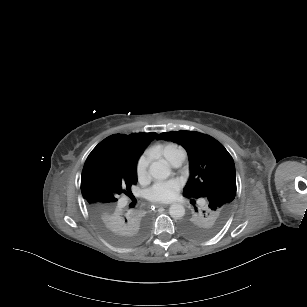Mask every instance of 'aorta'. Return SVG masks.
<instances>
[{"instance_id":"762f6f07","label":"aorta","mask_w":307,"mask_h":307,"mask_svg":"<svg viewBox=\"0 0 307 307\" xmlns=\"http://www.w3.org/2000/svg\"><path fill=\"white\" fill-rule=\"evenodd\" d=\"M148 173L153 179L161 181L169 177L171 168L167 160L160 159L150 163ZM169 214L174 219H181L185 215V208L180 203H173Z\"/></svg>"}]
</instances>
